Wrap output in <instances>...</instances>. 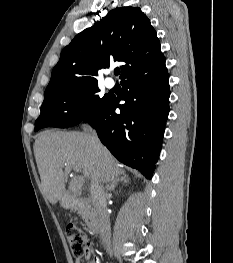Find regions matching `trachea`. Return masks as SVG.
Returning <instances> with one entry per match:
<instances>
[{"label": "trachea", "mask_w": 233, "mask_h": 263, "mask_svg": "<svg viewBox=\"0 0 233 263\" xmlns=\"http://www.w3.org/2000/svg\"><path fill=\"white\" fill-rule=\"evenodd\" d=\"M114 74L115 75H119L120 74V69H115Z\"/></svg>", "instance_id": "1"}]
</instances>
